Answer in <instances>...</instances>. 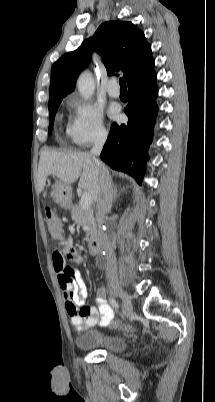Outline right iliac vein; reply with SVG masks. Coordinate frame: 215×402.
<instances>
[{
  "instance_id": "obj_1",
  "label": "right iliac vein",
  "mask_w": 215,
  "mask_h": 402,
  "mask_svg": "<svg viewBox=\"0 0 215 402\" xmlns=\"http://www.w3.org/2000/svg\"><path fill=\"white\" fill-rule=\"evenodd\" d=\"M113 290L115 293L122 299L123 302V314L124 316L128 317L133 310L132 302L129 295L124 292L118 285H113Z\"/></svg>"
}]
</instances>
